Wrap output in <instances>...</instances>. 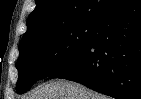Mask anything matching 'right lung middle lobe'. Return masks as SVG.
<instances>
[{
  "mask_svg": "<svg viewBox=\"0 0 141 99\" xmlns=\"http://www.w3.org/2000/svg\"><path fill=\"white\" fill-rule=\"evenodd\" d=\"M98 21H81L20 43L17 93L68 64L93 38Z\"/></svg>",
  "mask_w": 141,
  "mask_h": 99,
  "instance_id": "dd1d6c3e",
  "label": "right lung middle lobe"
}]
</instances>
